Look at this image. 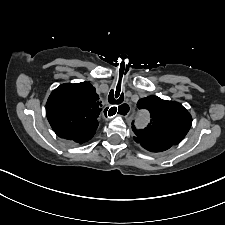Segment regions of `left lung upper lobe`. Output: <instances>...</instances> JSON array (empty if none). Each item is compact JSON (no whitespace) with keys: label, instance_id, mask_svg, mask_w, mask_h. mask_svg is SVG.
Instances as JSON below:
<instances>
[{"label":"left lung upper lobe","instance_id":"5c2ea615","mask_svg":"<svg viewBox=\"0 0 225 225\" xmlns=\"http://www.w3.org/2000/svg\"><path fill=\"white\" fill-rule=\"evenodd\" d=\"M139 108L150 111L151 121L145 129L132 130L139 138L156 144L177 145L188 133L192 117L182 104L163 100L157 96H148L137 102Z\"/></svg>","mask_w":225,"mask_h":225}]
</instances>
